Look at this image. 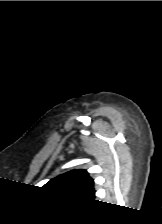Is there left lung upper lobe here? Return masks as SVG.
<instances>
[{
    "label": "left lung upper lobe",
    "mask_w": 162,
    "mask_h": 224,
    "mask_svg": "<svg viewBox=\"0 0 162 224\" xmlns=\"http://www.w3.org/2000/svg\"><path fill=\"white\" fill-rule=\"evenodd\" d=\"M93 185L86 170H72L51 179L43 188L71 197L92 199L95 194Z\"/></svg>",
    "instance_id": "5c2ea615"
}]
</instances>
